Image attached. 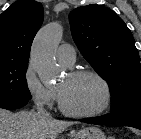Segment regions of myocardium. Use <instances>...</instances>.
<instances>
[{"instance_id": "obj_1", "label": "myocardium", "mask_w": 141, "mask_h": 139, "mask_svg": "<svg viewBox=\"0 0 141 139\" xmlns=\"http://www.w3.org/2000/svg\"><path fill=\"white\" fill-rule=\"evenodd\" d=\"M68 75L71 78H80V77L90 76V77L97 79L104 88L105 99H104V103L102 104V106L95 111L77 112V111H74L68 108V106L66 105L63 99L61 92L57 90L59 107H60V110L65 115L70 116V117H75V118H95V117L103 115L110 108L111 103H112V97H113L112 89H111L109 82L106 80V78L102 76L99 72L90 70V69H80V70H73Z\"/></svg>"}]
</instances>
